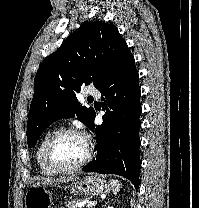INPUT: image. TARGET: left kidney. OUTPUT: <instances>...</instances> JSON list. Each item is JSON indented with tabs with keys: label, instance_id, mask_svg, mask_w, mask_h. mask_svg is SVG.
Listing matches in <instances>:
<instances>
[{
	"label": "left kidney",
	"instance_id": "obj_1",
	"mask_svg": "<svg viewBox=\"0 0 199 208\" xmlns=\"http://www.w3.org/2000/svg\"><path fill=\"white\" fill-rule=\"evenodd\" d=\"M107 208H114L113 206H108Z\"/></svg>",
	"mask_w": 199,
	"mask_h": 208
}]
</instances>
